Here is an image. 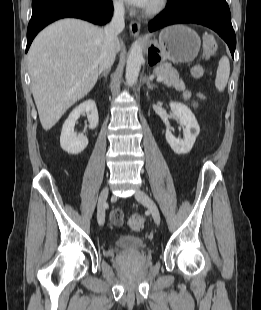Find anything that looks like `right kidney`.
Wrapping results in <instances>:
<instances>
[{"instance_id":"1","label":"right kidney","mask_w":261,"mask_h":310,"mask_svg":"<svg viewBox=\"0 0 261 310\" xmlns=\"http://www.w3.org/2000/svg\"><path fill=\"white\" fill-rule=\"evenodd\" d=\"M86 113L89 121V128L95 129L99 122V116L96 104L93 100H87L77 106L64 122L61 136V148L69 154H79L88 145V139L85 135L74 132L75 123L81 114Z\"/></svg>"}]
</instances>
